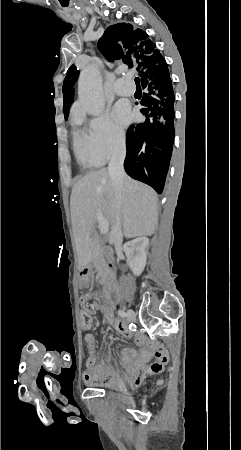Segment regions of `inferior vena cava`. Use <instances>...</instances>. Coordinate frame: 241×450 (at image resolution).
I'll return each mask as SVG.
<instances>
[{"instance_id":"inferior-vena-cava-1","label":"inferior vena cava","mask_w":241,"mask_h":450,"mask_svg":"<svg viewBox=\"0 0 241 450\" xmlns=\"http://www.w3.org/2000/svg\"><path fill=\"white\" fill-rule=\"evenodd\" d=\"M126 156L125 136L122 138V144L118 148L116 154L112 156L108 164V174L113 184L115 192V222L111 226L110 232V244H113L115 240H122V226H121V212L123 204L122 186L125 178V172L123 168L124 160Z\"/></svg>"}]
</instances>
